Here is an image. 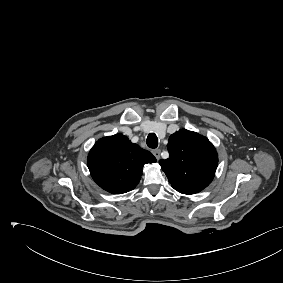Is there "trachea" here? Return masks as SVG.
<instances>
[{"label":"trachea","instance_id":"1","mask_svg":"<svg viewBox=\"0 0 283 283\" xmlns=\"http://www.w3.org/2000/svg\"><path fill=\"white\" fill-rule=\"evenodd\" d=\"M146 144L149 148L155 149L158 146V138L156 134L150 133L146 139Z\"/></svg>","mask_w":283,"mask_h":283}]
</instances>
